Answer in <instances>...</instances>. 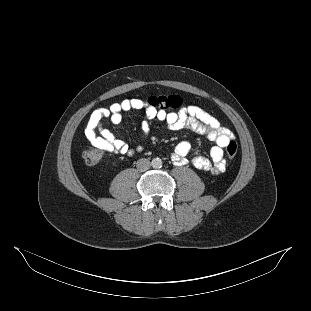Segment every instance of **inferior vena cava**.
Wrapping results in <instances>:
<instances>
[{
	"instance_id": "obj_1",
	"label": "inferior vena cava",
	"mask_w": 311,
	"mask_h": 311,
	"mask_svg": "<svg viewBox=\"0 0 311 311\" xmlns=\"http://www.w3.org/2000/svg\"><path fill=\"white\" fill-rule=\"evenodd\" d=\"M136 167L139 171L145 172L151 167V163L148 159L142 158L137 161Z\"/></svg>"
}]
</instances>
